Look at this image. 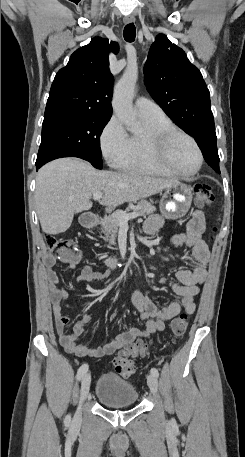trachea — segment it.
Returning <instances> with one entry per match:
<instances>
[{"mask_svg":"<svg viewBox=\"0 0 245 457\" xmlns=\"http://www.w3.org/2000/svg\"><path fill=\"white\" fill-rule=\"evenodd\" d=\"M123 36L127 42H134L136 37V29L133 23H128V25L125 26Z\"/></svg>","mask_w":245,"mask_h":457,"instance_id":"1","label":"trachea"}]
</instances>
